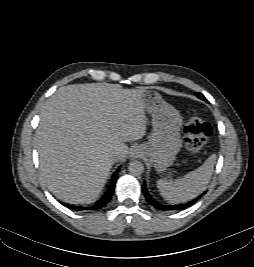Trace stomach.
Instances as JSON below:
<instances>
[{"label": "stomach", "mask_w": 254, "mask_h": 267, "mask_svg": "<svg viewBox=\"0 0 254 267\" xmlns=\"http://www.w3.org/2000/svg\"><path fill=\"white\" fill-rule=\"evenodd\" d=\"M144 110L152 116V134L148 142L139 146L141 155L162 173L172 166L182 147L183 118L179 111L152 89L142 94Z\"/></svg>", "instance_id": "stomach-1"}]
</instances>
